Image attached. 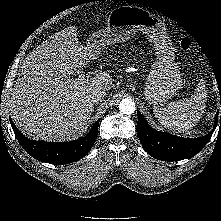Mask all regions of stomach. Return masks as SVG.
Listing matches in <instances>:
<instances>
[{
    "label": "stomach",
    "instance_id": "obj_1",
    "mask_svg": "<svg viewBox=\"0 0 221 221\" xmlns=\"http://www.w3.org/2000/svg\"><path fill=\"white\" fill-rule=\"evenodd\" d=\"M137 31L143 32L154 44L157 57L146 79L145 99L153 105L164 103L181 88L182 79L164 23L151 12L136 6L113 9L107 26L90 34L86 46L99 52L106 45L129 40Z\"/></svg>",
    "mask_w": 221,
    "mask_h": 221
}]
</instances>
